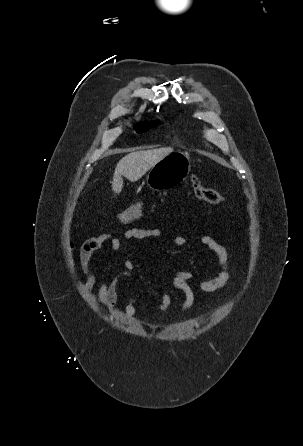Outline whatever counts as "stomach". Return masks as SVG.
<instances>
[{"label": "stomach", "instance_id": "0dacf381", "mask_svg": "<svg viewBox=\"0 0 303 446\" xmlns=\"http://www.w3.org/2000/svg\"><path fill=\"white\" fill-rule=\"evenodd\" d=\"M190 168L187 154L172 152L150 169L146 178L147 185L155 191L170 189L187 178Z\"/></svg>", "mask_w": 303, "mask_h": 446}]
</instances>
